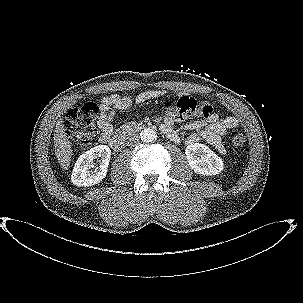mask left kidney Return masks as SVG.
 I'll use <instances>...</instances> for the list:
<instances>
[{
  "instance_id": "1",
  "label": "left kidney",
  "mask_w": 303,
  "mask_h": 303,
  "mask_svg": "<svg viewBox=\"0 0 303 303\" xmlns=\"http://www.w3.org/2000/svg\"><path fill=\"white\" fill-rule=\"evenodd\" d=\"M185 154L189 166L198 174L217 175L224 170L222 159L204 144L188 145Z\"/></svg>"
}]
</instances>
